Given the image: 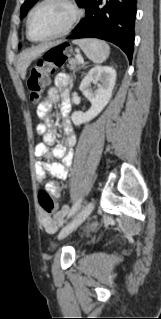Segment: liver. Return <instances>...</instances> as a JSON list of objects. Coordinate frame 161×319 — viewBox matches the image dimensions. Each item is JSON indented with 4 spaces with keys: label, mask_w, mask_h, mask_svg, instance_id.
I'll use <instances>...</instances> for the list:
<instances>
[{
    "label": "liver",
    "mask_w": 161,
    "mask_h": 319,
    "mask_svg": "<svg viewBox=\"0 0 161 319\" xmlns=\"http://www.w3.org/2000/svg\"><path fill=\"white\" fill-rule=\"evenodd\" d=\"M47 48L48 45H41L35 48L27 49L19 54L17 70L23 80L26 77V71L31 62L38 58Z\"/></svg>",
    "instance_id": "6515ba94"
}]
</instances>
